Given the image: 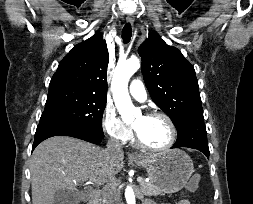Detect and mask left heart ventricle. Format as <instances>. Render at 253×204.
I'll return each instance as SVG.
<instances>
[{
    "instance_id": "b2bd125f",
    "label": "left heart ventricle",
    "mask_w": 253,
    "mask_h": 204,
    "mask_svg": "<svg viewBox=\"0 0 253 204\" xmlns=\"http://www.w3.org/2000/svg\"><path fill=\"white\" fill-rule=\"evenodd\" d=\"M132 125L139 133L141 139L149 146L162 147L170 139L169 126L160 117L139 115Z\"/></svg>"
}]
</instances>
